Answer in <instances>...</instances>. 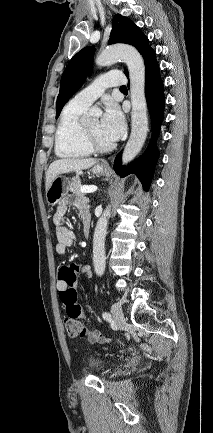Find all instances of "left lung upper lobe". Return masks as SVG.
<instances>
[{"instance_id": "1", "label": "left lung upper lobe", "mask_w": 213, "mask_h": 433, "mask_svg": "<svg viewBox=\"0 0 213 433\" xmlns=\"http://www.w3.org/2000/svg\"><path fill=\"white\" fill-rule=\"evenodd\" d=\"M126 43L130 44L140 52L144 57L145 54L152 49L149 46V41L130 19L115 15L112 20V31L109 38V44ZM95 47H85L72 57L67 67L65 68L61 82L60 91L56 103V119L69 100V98L82 86L87 74L93 68ZM128 75L127 70H125Z\"/></svg>"}]
</instances>
